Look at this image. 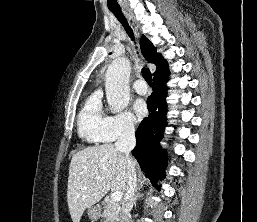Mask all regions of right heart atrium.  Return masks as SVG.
Returning <instances> with one entry per match:
<instances>
[{
    "label": "right heart atrium",
    "instance_id": "obj_1",
    "mask_svg": "<svg viewBox=\"0 0 257 222\" xmlns=\"http://www.w3.org/2000/svg\"><path fill=\"white\" fill-rule=\"evenodd\" d=\"M135 132V122L129 112H123L117 117H107L103 129L105 142L131 137Z\"/></svg>",
    "mask_w": 257,
    "mask_h": 222
}]
</instances>
